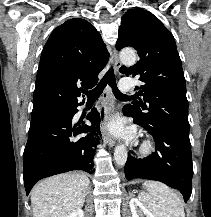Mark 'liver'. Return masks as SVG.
<instances>
[{"label":"liver","instance_id":"obj_1","mask_svg":"<svg viewBox=\"0 0 211 217\" xmlns=\"http://www.w3.org/2000/svg\"><path fill=\"white\" fill-rule=\"evenodd\" d=\"M89 178L83 173L60 174L39 182L31 191L33 217H67L84 202Z\"/></svg>","mask_w":211,"mask_h":217}]
</instances>
